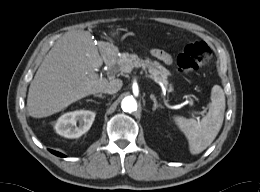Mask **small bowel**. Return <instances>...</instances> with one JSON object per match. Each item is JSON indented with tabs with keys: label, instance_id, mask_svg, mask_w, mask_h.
<instances>
[{
	"label": "small bowel",
	"instance_id": "small-bowel-1",
	"mask_svg": "<svg viewBox=\"0 0 260 192\" xmlns=\"http://www.w3.org/2000/svg\"><path fill=\"white\" fill-rule=\"evenodd\" d=\"M152 55L159 61L168 65H170L173 61L171 55L161 49H153Z\"/></svg>",
	"mask_w": 260,
	"mask_h": 192
}]
</instances>
